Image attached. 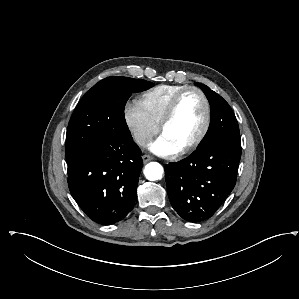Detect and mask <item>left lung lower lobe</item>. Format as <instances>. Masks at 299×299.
Here are the masks:
<instances>
[{
	"label": "left lung lower lobe",
	"mask_w": 299,
	"mask_h": 299,
	"mask_svg": "<svg viewBox=\"0 0 299 299\" xmlns=\"http://www.w3.org/2000/svg\"><path fill=\"white\" fill-rule=\"evenodd\" d=\"M241 145L215 142L165 166L167 193L185 220L209 219L235 186Z\"/></svg>",
	"instance_id": "0a47b994"
}]
</instances>
